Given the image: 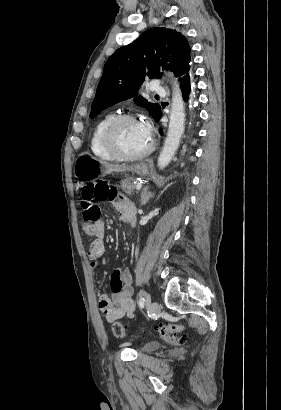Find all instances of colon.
I'll use <instances>...</instances> for the list:
<instances>
[{"instance_id": "5ec220e1", "label": "colon", "mask_w": 281, "mask_h": 410, "mask_svg": "<svg viewBox=\"0 0 281 410\" xmlns=\"http://www.w3.org/2000/svg\"><path fill=\"white\" fill-rule=\"evenodd\" d=\"M116 197V191L111 188L106 181H99L95 184L86 185L82 189L81 206L84 212L81 225L86 233L94 234L96 231V224L101 217L99 203L113 201ZM157 330L160 336L170 344L183 345L186 342V337L177 335L184 330L182 324L161 325ZM112 331L118 338H124L126 336V329L119 322L113 323Z\"/></svg>"}]
</instances>
